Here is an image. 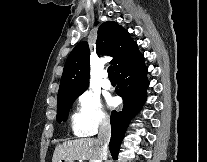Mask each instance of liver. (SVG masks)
<instances>
[{
  "label": "liver",
  "mask_w": 207,
  "mask_h": 162,
  "mask_svg": "<svg viewBox=\"0 0 207 162\" xmlns=\"http://www.w3.org/2000/svg\"><path fill=\"white\" fill-rule=\"evenodd\" d=\"M100 144L95 138L75 139L58 144L52 162H74L75 160H99Z\"/></svg>",
  "instance_id": "obj_1"
}]
</instances>
